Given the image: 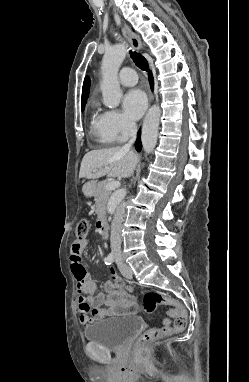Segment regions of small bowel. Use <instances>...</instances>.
<instances>
[{
    "instance_id": "1",
    "label": "small bowel",
    "mask_w": 249,
    "mask_h": 382,
    "mask_svg": "<svg viewBox=\"0 0 249 382\" xmlns=\"http://www.w3.org/2000/svg\"><path fill=\"white\" fill-rule=\"evenodd\" d=\"M89 243V238L83 241L75 240L70 252L71 270L78 292L77 314L83 325L114 314H124L136 310L131 287L125 285L114 270L111 271V280L105 283L106 294L97 290L96 284L81 263L82 253Z\"/></svg>"
}]
</instances>
